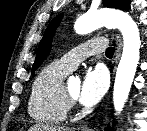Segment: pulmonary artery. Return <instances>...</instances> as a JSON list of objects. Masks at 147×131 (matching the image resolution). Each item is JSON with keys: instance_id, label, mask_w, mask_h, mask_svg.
Wrapping results in <instances>:
<instances>
[{"instance_id": "e3ab8cb5", "label": "pulmonary artery", "mask_w": 147, "mask_h": 131, "mask_svg": "<svg viewBox=\"0 0 147 131\" xmlns=\"http://www.w3.org/2000/svg\"><path fill=\"white\" fill-rule=\"evenodd\" d=\"M106 46L107 42L105 39L93 38L64 54L58 60V62L68 70L72 71L85 58L92 55L101 54L103 51H105Z\"/></svg>"}]
</instances>
